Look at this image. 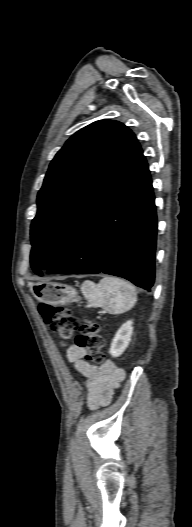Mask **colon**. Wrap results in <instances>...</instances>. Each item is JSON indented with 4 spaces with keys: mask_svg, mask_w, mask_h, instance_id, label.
<instances>
[{
    "mask_svg": "<svg viewBox=\"0 0 192 527\" xmlns=\"http://www.w3.org/2000/svg\"><path fill=\"white\" fill-rule=\"evenodd\" d=\"M39 313L50 330L63 342L70 340L78 328L79 334L75 343L86 351V361L95 365L103 363L104 340L95 321L85 319L79 323L71 310L64 305L43 303L39 306Z\"/></svg>",
    "mask_w": 192,
    "mask_h": 527,
    "instance_id": "colon-1",
    "label": "colon"
}]
</instances>
